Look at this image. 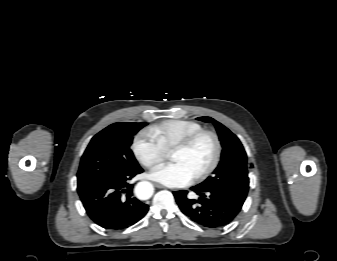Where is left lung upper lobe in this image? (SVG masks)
<instances>
[{"label":"left lung upper lobe","instance_id":"5c2ea615","mask_svg":"<svg viewBox=\"0 0 337 261\" xmlns=\"http://www.w3.org/2000/svg\"><path fill=\"white\" fill-rule=\"evenodd\" d=\"M198 120L212 122L219 135L223 150L221 161L204 182L197 185L201 190H217L225 193L234 201L243 205L249 189L247 155L237 138L229 129L210 117Z\"/></svg>","mask_w":337,"mask_h":261}]
</instances>
